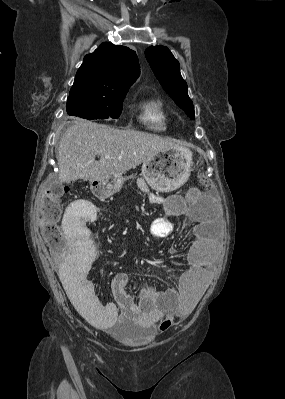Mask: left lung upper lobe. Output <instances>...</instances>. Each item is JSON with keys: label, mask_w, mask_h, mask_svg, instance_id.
<instances>
[{"label": "left lung upper lobe", "mask_w": 285, "mask_h": 399, "mask_svg": "<svg viewBox=\"0 0 285 399\" xmlns=\"http://www.w3.org/2000/svg\"><path fill=\"white\" fill-rule=\"evenodd\" d=\"M145 56L163 89L190 118L194 119V106L188 96L187 83L180 74L179 62L169 49L161 45L151 46L146 49Z\"/></svg>", "instance_id": "1"}]
</instances>
